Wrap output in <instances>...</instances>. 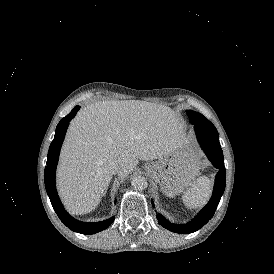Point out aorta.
I'll return each mask as SVG.
<instances>
[{
	"label": "aorta",
	"mask_w": 274,
	"mask_h": 274,
	"mask_svg": "<svg viewBox=\"0 0 274 274\" xmlns=\"http://www.w3.org/2000/svg\"><path fill=\"white\" fill-rule=\"evenodd\" d=\"M131 185L135 190H144L147 188L148 183L145 177L143 176H135L132 181Z\"/></svg>",
	"instance_id": "1"
}]
</instances>
